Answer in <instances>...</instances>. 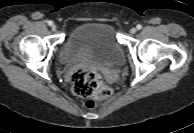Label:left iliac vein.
<instances>
[{
  "label": "left iliac vein",
  "mask_w": 194,
  "mask_h": 133,
  "mask_svg": "<svg viewBox=\"0 0 194 133\" xmlns=\"http://www.w3.org/2000/svg\"><path fill=\"white\" fill-rule=\"evenodd\" d=\"M130 32H131L132 34H135V33L137 32V29H136V28H132V29L130 30Z\"/></svg>",
  "instance_id": "4c4485c4"
}]
</instances>
